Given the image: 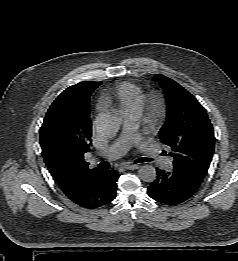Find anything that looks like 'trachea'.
Listing matches in <instances>:
<instances>
[{
	"mask_svg": "<svg viewBox=\"0 0 238 261\" xmlns=\"http://www.w3.org/2000/svg\"><path fill=\"white\" fill-rule=\"evenodd\" d=\"M152 161L150 158H139L136 160V163H142V162H150ZM99 167L102 169H108L110 167L108 162H101L99 164Z\"/></svg>",
	"mask_w": 238,
	"mask_h": 261,
	"instance_id": "1",
	"label": "trachea"
}]
</instances>
